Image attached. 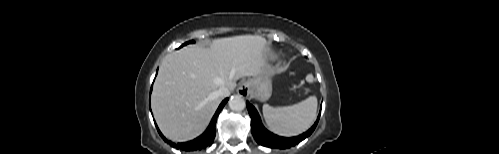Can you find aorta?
<instances>
[{
	"label": "aorta",
	"instance_id": "aorta-1",
	"mask_svg": "<svg viewBox=\"0 0 499 154\" xmlns=\"http://www.w3.org/2000/svg\"><path fill=\"white\" fill-rule=\"evenodd\" d=\"M228 104H229V108L233 111H242L246 106L245 100L240 95L232 96L230 98Z\"/></svg>",
	"mask_w": 499,
	"mask_h": 154
}]
</instances>
